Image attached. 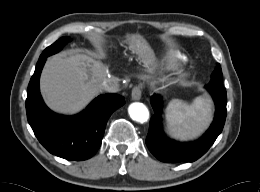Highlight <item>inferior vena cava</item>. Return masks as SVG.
<instances>
[{
	"mask_svg": "<svg viewBox=\"0 0 260 192\" xmlns=\"http://www.w3.org/2000/svg\"><path fill=\"white\" fill-rule=\"evenodd\" d=\"M100 88L107 92L115 93L120 90V84L116 77H107L101 84Z\"/></svg>",
	"mask_w": 260,
	"mask_h": 192,
	"instance_id": "inferior-vena-cava-1",
	"label": "inferior vena cava"
}]
</instances>
